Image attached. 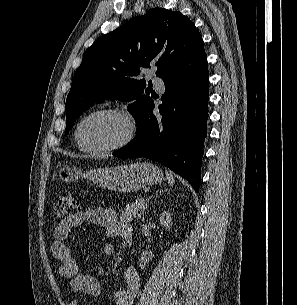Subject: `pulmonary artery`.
<instances>
[{
    "label": "pulmonary artery",
    "mask_w": 297,
    "mask_h": 305,
    "mask_svg": "<svg viewBox=\"0 0 297 305\" xmlns=\"http://www.w3.org/2000/svg\"><path fill=\"white\" fill-rule=\"evenodd\" d=\"M153 84L158 88H162V86H163L162 80L157 77L153 78Z\"/></svg>",
    "instance_id": "e3ab8cb5"
}]
</instances>
